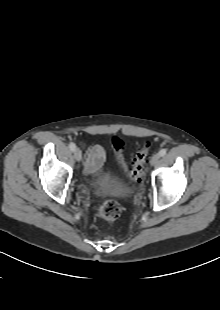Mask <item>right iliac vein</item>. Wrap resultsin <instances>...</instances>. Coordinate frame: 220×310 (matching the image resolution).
<instances>
[{
    "mask_svg": "<svg viewBox=\"0 0 220 310\" xmlns=\"http://www.w3.org/2000/svg\"><path fill=\"white\" fill-rule=\"evenodd\" d=\"M74 158L77 160V161H81L82 160V152L80 149H75L74 150Z\"/></svg>",
    "mask_w": 220,
    "mask_h": 310,
    "instance_id": "63e3f726",
    "label": "right iliac vein"
}]
</instances>
